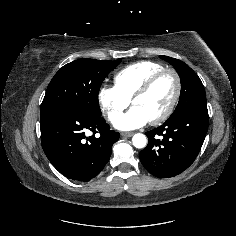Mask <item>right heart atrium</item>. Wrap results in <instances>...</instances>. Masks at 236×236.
I'll return each instance as SVG.
<instances>
[{
  "mask_svg": "<svg viewBox=\"0 0 236 236\" xmlns=\"http://www.w3.org/2000/svg\"><path fill=\"white\" fill-rule=\"evenodd\" d=\"M101 111L109 120H113L126 109L130 100L124 97L115 86L102 85L97 93Z\"/></svg>",
  "mask_w": 236,
  "mask_h": 236,
  "instance_id": "right-heart-atrium-1",
  "label": "right heart atrium"
}]
</instances>
